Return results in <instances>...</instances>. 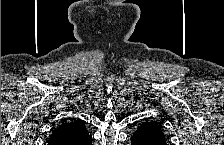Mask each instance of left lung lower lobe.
Listing matches in <instances>:
<instances>
[{
    "label": "left lung lower lobe",
    "mask_w": 224,
    "mask_h": 145,
    "mask_svg": "<svg viewBox=\"0 0 224 145\" xmlns=\"http://www.w3.org/2000/svg\"><path fill=\"white\" fill-rule=\"evenodd\" d=\"M132 145H166L162 130L153 122L141 124L132 137Z\"/></svg>",
    "instance_id": "0a47b994"
}]
</instances>
